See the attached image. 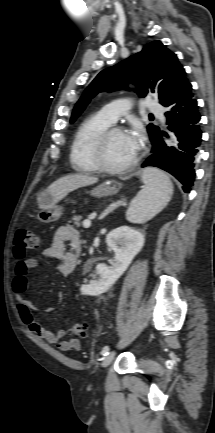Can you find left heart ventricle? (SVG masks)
Here are the masks:
<instances>
[{
  "label": "left heart ventricle",
  "instance_id": "1",
  "mask_svg": "<svg viewBox=\"0 0 215 433\" xmlns=\"http://www.w3.org/2000/svg\"><path fill=\"white\" fill-rule=\"evenodd\" d=\"M137 154V149L132 145L128 134L114 133L109 138L106 149V162L112 167H120L128 164Z\"/></svg>",
  "mask_w": 215,
  "mask_h": 433
}]
</instances>
